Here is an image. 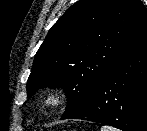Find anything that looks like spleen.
Segmentation results:
<instances>
[{
    "instance_id": "obj_1",
    "label": "spleen",
    "mask_w": 147,
    "mask_h": 131,
    "mask_svg": "<svg viewBox=\"0 0 147 131\" xmlns=\"http://www.w3.org/2000/svg\"><path fill=\"white\" fill-rule=\"evenodd\" d=\"M101 131H118V130L115 129L114 127L104 125L101 127Z\"/></svg>"
}]
</instances>
